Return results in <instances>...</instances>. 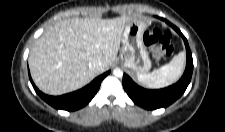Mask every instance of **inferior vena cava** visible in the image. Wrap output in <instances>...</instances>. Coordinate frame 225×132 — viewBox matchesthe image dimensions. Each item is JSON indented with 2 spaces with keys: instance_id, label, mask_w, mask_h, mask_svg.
<instances>
[{
  "instance_id": "inferior-vena-cava-1",
  "label": "inferior vena cava",
  "mask_w": 225,
  "mask_h": 132,
  "mask_svg": "<svg viewBox=\"0 0 225 132\" xmlns=\"http://www.w3.org/2000/svg\"><path fill=\"white\" fill-rule=\"evenodd\" d=\"M105 64L101 59H94L89 64V68L96 72V73H102L104 71Z\"/></svg>"
}]
</instances>
